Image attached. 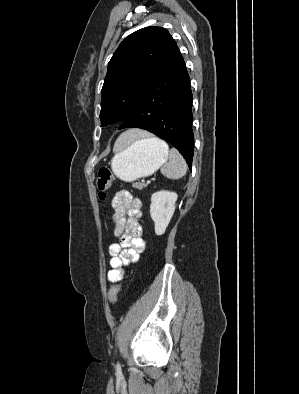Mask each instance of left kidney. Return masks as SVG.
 Here are the masks:
<instances>
[{
  "label": "left kidney",
  "instance_id": "1",
  "mask_svg": "<svg viewBox=\"0 0 299 394\" xmlns=\"http://www.w3.org/2000/svg\"><path fill=\"white\" fill-rule=\"evenodd\" d=\"M178 195L170 191H159L152 195L150 215L155 223L156 235H163L175 211Z\"/></svg>",
  "mask_w": 299,
  "mask_h": 394
}]
</instances>
